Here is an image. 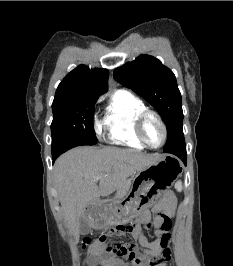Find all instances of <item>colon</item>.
Instances as JSON below:
<instances>
[{"instance_id":"5ec220e1","label":"colon","mask_w":233,"mask_h":266,"mask_svg":"<svg viewBox=\"0 0 233 266\" xmlns=\"http://www.w3.org/2000/svg\"><path fill=\"white\" fill-rule=\"evenodd\" d=\"M153 220H159L163 229H168L171 226V220L161 212H156L153 216ZM153 222L148 223V227H151ZM136 225H123L122 228L110 229L107 232L99 234L93 240L86 238L84 240V246H88L95 242L105 243V241L114 235L115 233H128L132 234ZM107 256L120 257L128 260L129 264H142L149 263L150 266L155 265L159 261L156 257H149L135 250L133 244L116 243L106 247Z\"/></svg>"}]
</instances>
